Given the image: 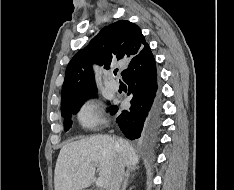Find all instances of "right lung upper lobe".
Returning a JSON list of instances; mask_svg holds the SVG:
<instances>
[{
    "label": "right lung upper lobe",
    "instance_id": "1",
    "mask_svg": "<svg viewBox=\"0 0 234 190\" xmlns=\"http://www.w3.org/2000/svg\"><path fill=\"white\" fill-rule=\"evenodd\" d=\"M147 47L140 28L129 21L120 20L104 27L89 45L79 50L69 62L62 87L61 104L96 91L93 63L109 69L111 63L117 60L132 61ZM124 72L125 70L121 75Z\"/></svg>",
    "mask_w": 234,
    "mask_h": 190
}]
</instances>
